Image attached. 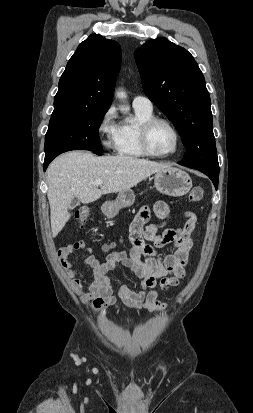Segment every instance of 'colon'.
<instances>
[{"label": "colon", "instance_id": "colon-1", "mask_svg": "<svg viewBox=\"0 0 253 413\" xmlns=\"http://www.w3.org/2000/svg\"><path fill=\"white\" fill-rule=\"evenodd\" d=\"M203 194H204V191L202 187L195 186L192 188L189 194V199L191 202L198 203L203 199ZM90 213H91V207L89 205H83L78 209L77 220L80 225H83L88 220ZM110 248L111 246L104 247L105 250H108Z\"/></svg>", "mask_w": 253, "mask_h": 413}]
</instances>
